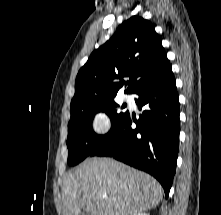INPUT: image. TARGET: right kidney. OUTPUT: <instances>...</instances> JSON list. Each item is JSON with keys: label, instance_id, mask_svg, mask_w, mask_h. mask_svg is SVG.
<instances>
[{"label": "right kidney", "instance_id": "1", "mask_svg": "<svg viewBox=\"0 0 221 215\" xmlns=\"http://www.w3.org/2000/svg\"><path fill=\"white\" fill-rule=\"evenodd\" d=\"M134 215H149V214L148 213L140 212V213H137V214H134Z\"/></svg>", "mask_w": 221, "mask_h": 215}]
</instances>
